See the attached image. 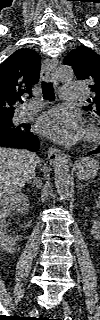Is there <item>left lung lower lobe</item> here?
<instances>
[{
  "label": "left lung lower lobe",
  "instance_id": "obj_1",
  "mask_svg": "<svg viewBox=\"0 0 100 320\" xmlns=\"http://www.w3.org/2000/svg\"><path fill=\"white\" fill-rule=\"evenodd\" d=\"M96 153H100V146L96 150L89 152L88 155L96 154Z\"/></svg>",
  "mask_w": 100,
  "mask_h": 320
}]
</instances>
